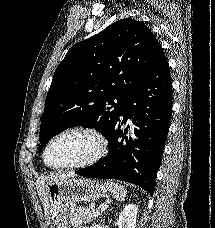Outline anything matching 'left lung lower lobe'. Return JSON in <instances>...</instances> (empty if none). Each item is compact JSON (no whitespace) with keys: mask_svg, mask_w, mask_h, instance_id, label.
I'll return each mask as SVG.
<instances>
[{"mask_svg":"<svg viewBox=\"0 0 215 228\" xmlns=\"http://www.w3.org/2000/svg\"><path fill=\"white\" fill-rule=\"evenodd\" d=\"M171 112V76L166 57L161 51L144 79L121 107L115 127L107 139L109 152L106 157L75 173L89 178L130 182L152 195ZM129 118L135 125L136 139L125 135L128 129H120Z\"/></svg>","mask_w":215,"mask_h":228,"instance_id":"1","label":"left lung lower lobe"}]
</instances>
